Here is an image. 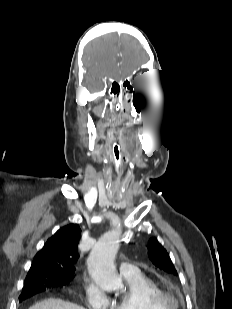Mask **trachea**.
Here are the masks:
<instances>
[{
  "label": "trachea",
  "mask_w": 232,
  "mask_h": 309,
  "mask_svg": "<svg viewBox=\"0 0 232 309\" xmlns=\"http://www.w3.org/2000/svg\"><path fill=\"white\" fill-rule=\"evenodd\" d=\"M112 153L115 164V175L119 177L122 170V152L117 141L112 142Z\"/></svg>",
  "instance_id": "trachea-1"
}]
</instances>
